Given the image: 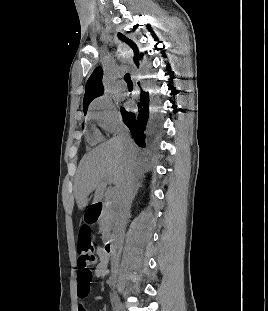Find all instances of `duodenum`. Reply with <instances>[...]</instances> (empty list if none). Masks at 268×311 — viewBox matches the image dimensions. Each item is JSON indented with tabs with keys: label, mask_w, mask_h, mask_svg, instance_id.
<instances>
[{
	"label": "duodenum",
	"mask_w": 268,
	"mask_h": 311,
	"mask_svg": "<svg viewBox=\"0 0 268 311\" xmlns=\"http://www.w3.org/2000/svg\"><path fill=\"white\" fill-rule=\"evenodd\" d=\"M104 208L103 202L94 203L88 209V216L91 221L96 222ZM116 241L114 238H109L104 244V250L107 255H111L115 251Z\"/></svg>",
	"instance_id": "duodenum-1"
}]
</instances>
